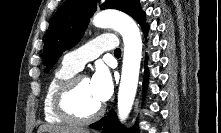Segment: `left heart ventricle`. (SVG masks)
<instances>
[{
    "label": "left heart ventricle",
    "instance_id": "obj_1",
    "mask_svg": "<svg viewBox=\"0 0 221 133\" xmlns=\"http://www.w3.org/2000/svg\"><path fill=\"white\" fill-rule=\"evenodd\" d=\"M71 104L79 116H89L97 111L101 102L95 97L89 78L86 77L80 81L74 92Z\"/></svg>",
    "mask_w": 221,
    "mask_h": 133
}]
</instances>
